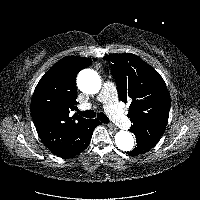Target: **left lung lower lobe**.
<instances>
[{
	"instance_id": "obj_1",
	"label": "left lung lower lobe",
	"mask_w": 200,
	"mask_h": 200,
	"mask_svg": "<svg viewBox=\"0 0 200 200\" xmlns=\"http://www.w3.org/2000/svg\"><path fill=\"white\" fill-rule=\"evenodd\" d=\"M136 143H137V146L132 151L127 152V154L131 156L139 155V154L147 152L148 150H150L152 147H154L157 144L149 139H144L141 137L136 138Z\"/></svg>"
}]
</instances>
